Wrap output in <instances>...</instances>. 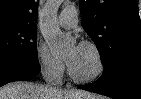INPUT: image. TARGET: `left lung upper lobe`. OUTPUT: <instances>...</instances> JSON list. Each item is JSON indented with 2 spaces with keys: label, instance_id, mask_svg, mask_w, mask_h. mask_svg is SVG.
<instances>
[{
  "label": "left lung upper lobe",
  "instance_id": "5c2ea615",
  "mask_svg": "<svg viewBox=\"0 0 141 99\" xmlns=\"http://www.w3.org/2000/svg\"><path fill=\"white\" fill-rule=\"evenodd\" d=\"M82 25L109 69L123 58H141V22L136 0H80Z\"/></svg>",
  "mask_w": 141,
  "mask_h": 99
}]
</instances>
